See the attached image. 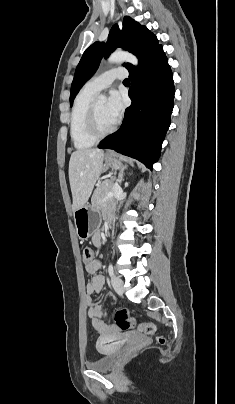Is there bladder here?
Here are the masks:
<instances>
[{
	"mask_svg": "<svg viewBox=\"0 0 235 404\" xmlns=\"http://www.w3.org/2000/svg\"><path fill=\"white\" fill-rule=\"evenodd\" d=\"M97 350L103 356L95 361L86 363V366L89 369L97 372H105L111 370L119 357V350L107 352L103 349V347L101 348L100 345H98Z\"/></svg>",
	"mask_w": 235,
	"mask_h": 404,
	"instance_id": "obj_1",
	"label": "bladder"
}]
</instances>
